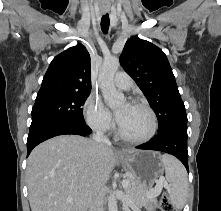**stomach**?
I'll return each mask as SVG.
<instances>
[{
    "mask_svg": "<svg viewBox=\"0 0 221 211\" xmlns=\"http://www.w3.org/2000/svg\"><path fill=\"white\" fill-rule=\"evenodd\" d=\"M117 159L129 177L140 183L144 189H150L164 172L161 156L154 151L144 150L134 154H122Z\"/></svg>",
    "mask_w": 221,
    "mask_h": 211,
    "instance_id": "stomach-1",
    "label": "stomach"
}]
</instances>
